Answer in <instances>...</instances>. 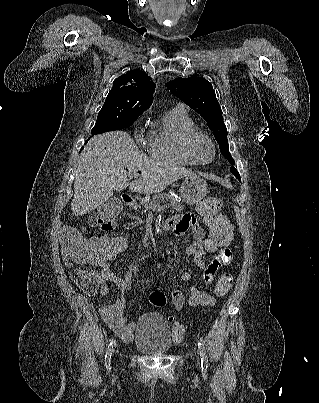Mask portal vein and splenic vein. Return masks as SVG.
<instances>
[{"mask_svg":"<svg viewBox=\"0 0 319 403\" xmlns=\"http://www.w3.org/2000/svg\"><path fill=\"white\" fill-rule=\"evenodd\" d=\"M169 207H170V204H165V205H162V206H156L154 211H161V210L167 209Z\"/></svg>","mask_w":319,"mask_h":403,"instance_id":"18ae733b","label":"portal vein and splenic vein"}]
</instances>
